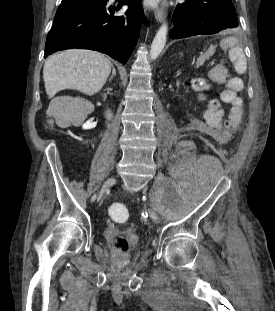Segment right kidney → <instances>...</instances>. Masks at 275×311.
I'll return each mask as SVG.
<instances>
[{
	"mask_svg": "<svg viewBox=\"0 0 275 311\" xmlns=\"http://www.w3.org/2000/svg\"><path fill=\"white\" fill-rule=\"evenodd\" d=\"M104 94H105V95H107L108 93H107V92H105Z\"/></svg>",
	"mask_w": 275,
	"mask_h": 311,
	"instance_id": "1",
	"label": "right kidney"
}]
</instances>
